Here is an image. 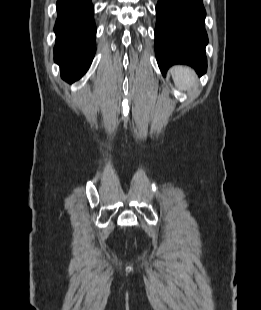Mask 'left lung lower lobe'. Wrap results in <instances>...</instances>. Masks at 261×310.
I'll list each match as a JSON object with an SVG mask.
<instances>
[{
  "label": "left lung lower lobe",
  "instance_id": "0a47b994",
  "mask_svg": "<svg viewBox=\"0 0 261 310\" xmlns=\"http://www.w3.org/2000/svg\"><path fill=\"white\" fill-rule=\"evenodd\" d=\"M156 16L155 52L162 74L177 63L204 74L208 37L202 0H158Z\"/></svg>",
  "mask_w": 261,
  "mask_h": 310
}]
</instances>
